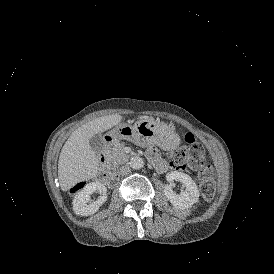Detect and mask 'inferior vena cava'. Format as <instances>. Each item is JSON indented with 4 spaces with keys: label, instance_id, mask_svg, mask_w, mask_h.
Returning a JSON list of instances; mask_svg holds the SVG:
<instances>
[{
    "label": "inferior vena cava",
    "instance_id": "obj_1",
    "mask_svg": "<svg viewBox=\"0 0 274 274\" xmlns=\"http://www.w3.org/2000/svg\"><path fill=\"white\" fill-rule=\"evenodd\" d=\"M129 172H130V167H129V165L121 166V167L119 168V171H118V173H119L120 175H127V174H129Z\"/></svg>",
    "mask_w": 274,
    "mask_h": 274
}]
</instances>
